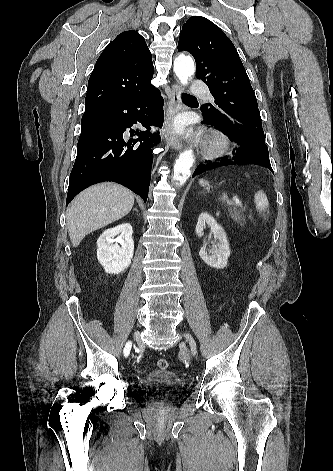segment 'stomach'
<instances>
[{
  "label": "stomach",
  "instance_id": "stomach-1",
  "mask_svg": "<svg viewBox=\"0 0 333 471\" xmlns=\"http://www.w3.org/2000/svg\"><path fill=\"white\" fill-rule=\"evenodd\" d=\"M199 183H200L201 186H208V182H207V181L200 180Z\"/></svg>",
  "mask_w": 333,
  "mask_h": 471
}]
</instances>
